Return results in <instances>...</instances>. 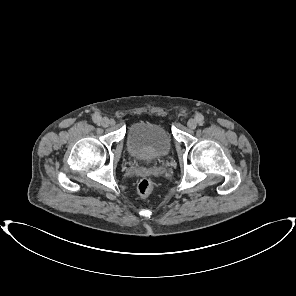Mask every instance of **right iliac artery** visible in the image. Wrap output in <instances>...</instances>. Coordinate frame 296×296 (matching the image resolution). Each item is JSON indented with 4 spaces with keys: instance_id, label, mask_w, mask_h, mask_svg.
Wrapping results in <instances>:
<instances>
[{
    "instance_id": "1",
    "label": "right iliac artery",
    "mask_w": 296,
    "mask_h": 296,
    "mask_svg": "<svg viewBox=\"0 0 296 296\" xmlns=\"http://www.w3.org/2000/svg\"><path fill=\"white\" fill-rule=\"evenodd\" d=\"M93 120H94V122L95 123H100V121H101V116H99V115H95L94 117H93Z\"/></svg>"
}]
</instances>
